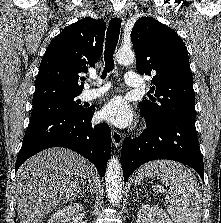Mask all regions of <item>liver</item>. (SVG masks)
<instances>
[{"instance_id":"6515ba94","label":"liver","mask_w":221,"mask_h":223,"mask_svg":"<svg viewBox=\"0 0 221 223\" xmlns=\"http://www.w3.org/2000/svg\"><path fill=\"white\" fill-rule=\"evenodd\" d=\"M89 167L84 157L64 148H49L26 160L13 185L20 223H39L72 201L89 180Z\"/></svg>"}]
</instances>
